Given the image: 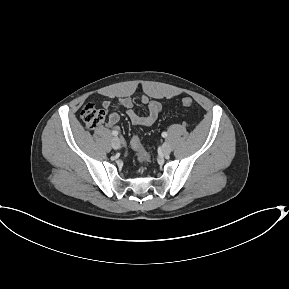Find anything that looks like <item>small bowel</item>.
<instances>
[{"instance_id": "small-bowel-1", "label": "small bowel", "mask_w": 289, "mask_h": 289, "mask_svg": "<svg viewBox=\"0 0 289 289\" xmlns=\"http://www.w3.org/2000/svg\"><path fill=\"white\" fill-rule=\"evenodd\" d=\"M142 104L148 106V113L144 116L137 114L133 109V103L130 99H121L119 105L128 109L127 115L136 126H151L158 118L159 114L162 111V104L156 100H150L147 96L142 95L140 98ZM103 108L106 112H109L108 116V126L111 128L116 127L120 120V115L111 111L112 103L108 100L103 102Z\"/></svg>"}]
</instances>
